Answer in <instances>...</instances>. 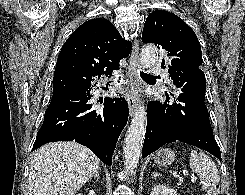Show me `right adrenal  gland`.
Listing matches in <instances>:
<instances>
[{
	"instance_id": "2a0ac1e0",
	"label": "right adrenal gland",
	"mask_w": 245,
	"mask_h": 195,
	"mask_svg": "<svg viewBox=\"0 0 245 195\" xmlns=\"http://www.w3.org/2000/svg\"><path fill=\"white\" fill-rule=\"evenodd\" d=\"M92 178H97V179H99V178H100L99 172H96V173L91 177V179H92Z\"/></svg>"
}]
</instances>
